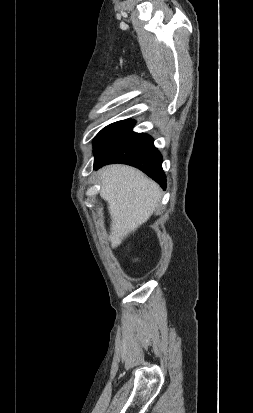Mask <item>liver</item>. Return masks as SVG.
<instances>
[{
	"label": "liver",
	"mask_w": 253,
	"mask_h": 413,
	"mask_svg": "<svg viewBox=\"0 0 253 413\" xmlns=\"http://www.w3.org/2000/svg\"><path fill=\"white\" fill-rule=\"evenodd\" d=\"M100 196L108 203L111 217L109 240L118 247L132 232L145 223L159 205L158 184L141 171L114 164L99 170Z\"/></svg>",
	"instance_id": "1"
}]
</instances>
